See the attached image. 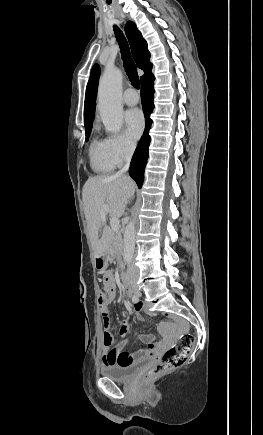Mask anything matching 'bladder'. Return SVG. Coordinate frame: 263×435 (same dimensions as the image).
Segmentation results:
<instances>
[{
	"instance_id": "bladder-1",
	"label": "bladder",
	"mask_w": 263,
	"mask_h": 435,
	"mask_svg": "<svg viewBox=\"0 0 263 435\" xmlns=\"http://www.w3.org/2000/svg\"><path fill=\"white\" fill-rule=\"evenodd\" d=\"M144 363L145 360H139L127 365L105 366L101 369V374L111 380L125 382L129 380Z\"/></svg>"
}]
</instances>
